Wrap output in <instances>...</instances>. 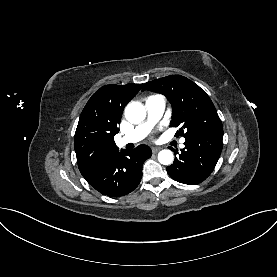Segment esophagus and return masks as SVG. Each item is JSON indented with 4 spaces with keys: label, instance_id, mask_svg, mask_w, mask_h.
Segmentation results:
<instances>
[{
    "label": "esophagus",
    "instance_id": "esophagus-1",
    "mask_svg": "<svg viewBox=\"0 0 277 277\" xmlns=\"http://www.w3.org/2000/svg\"><path fill=\"white\" fill-rule=\"evenodd\" d=\"M161 148L159 147H152V152L153 153H158L160 151Z\"/></svg>",
    "mask_w": 277,
    "mask_h": 277
}]
</instances>
